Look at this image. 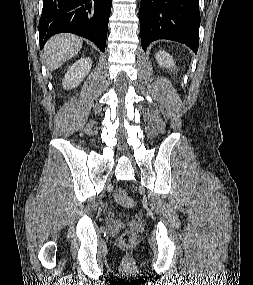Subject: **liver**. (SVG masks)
Masks as SVG:
<instances>
[{"mask_svg":"<svg viewBox=\"0 0 253 285\" xmlns=\"http://www.w3.org/2000/svg\"><path fill=\"white\" fill-rule=\"evenodd\" d=\"M81 38L70 34H59L46 43L44 48L45 63L50 71L61 67L82 48Z\"/></svg>","mask_w":253,"mask_h":285,"instance_id":"obj_1","label":"liver"}]
</instances>
